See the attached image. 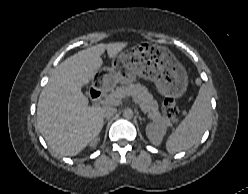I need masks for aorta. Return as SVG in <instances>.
Wrapping results in <instances>:
<instances>
[{
  "mask_svg": "<svg viewBox=\"0 0 248 194\" xmlns=\"http://www.w3.org/2000/svg\"><path fill=\"white\" fill-rule=\"evenodd\" d=\"M123 117L126 119H132L133 118V111L128 108L123 111Z\"/></svg>",
  "mask_w": 248,
  "mask_h": 194,
  "instance_id": "aorta-1",
  "label": "aorta"
}]
</instances>
